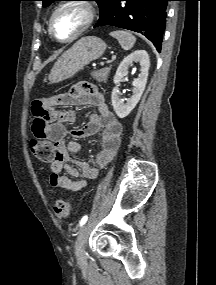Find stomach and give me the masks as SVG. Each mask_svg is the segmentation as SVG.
<instances>
[{
	"mask_svg": "<svg viewBox=\"0 0 216 285\" xmlns=\"http://www.w3.org/2000/svg\"><path fill=\"white\" fill-rule=\"evenodd\" d=\"M105 50L106 43L99 37L81 38L57 60L49 74L50 83L70 79L91 61L101 57Z\"/></svg>",
	"mask_w": 216,
	"mask_h": 285,
	"instance_id": "stomach-1",
	"label": "stomach"
}]
</instances>
